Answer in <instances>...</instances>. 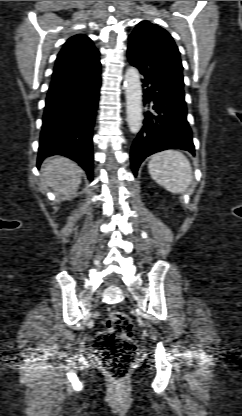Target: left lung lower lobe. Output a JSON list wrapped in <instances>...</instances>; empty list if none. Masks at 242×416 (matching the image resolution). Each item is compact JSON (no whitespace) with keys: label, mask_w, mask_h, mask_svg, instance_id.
Masks as SVG:
<instances>
[{"label":"left lung lower lobe","mask_w":242,"mask_h":416,"mask_svg":"<svg viewBox=\"0 0 242 416\" xmlns=\"http://www.w3.org/2000/svg\"><path fill=\"white\" fill-rule=\"evenodd\" d=\"M128 60L142 74L146 107L142 130L131 147L134 175L149 155L166 149H183L194 154L192 132L187 121L184 83L170 66L149 48L129 40Z\"/></svg>","instance_id":"0a47b994"}]
</instances>
